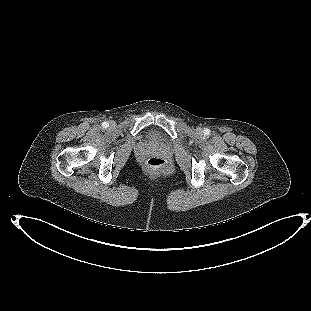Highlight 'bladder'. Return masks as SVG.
Instances as JSON below:
<instances>
[{"label": "bladder", "instance_id": "obj_1", "mask_svg": "<svg viewBox=\"0 0 311 311\" xmlns=\"http://www.w3.org/2000/svg\"><path fill=\"white\" fill-rule=\"evenodd\" d=\"M148 138L151 142L156 143L160 141V137L157 133L152 132L148 135Z\"/></svg>", "mask_w": 311, "mask_h": 311}]
</instances>
